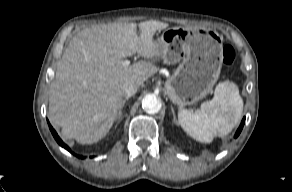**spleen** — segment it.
Returning a JSON list of instances; mask_svg holds the SVG:
<instances>
[{
	"label": "spleen",
	"instance_id": "spleen-1",
	"mask_svg": "<svg viewBox=\"0 0 292 192\" xmlns=\"http://www.w3.org/2000/svg\"><path fill=\"white\" fill-rule=\"evenodd\" d=\"M243 100L238 86L230 81L220 82L211 101L201 104L200 109H180L178 123L182 129L199 142L210 143L214 137L229 134L239 122Z\"/></svg>",
	"mask_w": 292,
	"mask_h": 192
}]
</instances>
